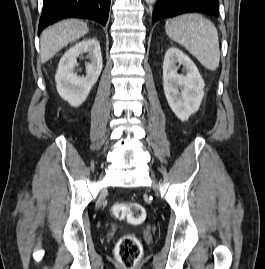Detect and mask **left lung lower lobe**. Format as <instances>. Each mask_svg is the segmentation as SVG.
<instances>
[{
	"label": "left lung lower lobe",
	"instance_id": "left-lung-lower-lobe-1",
	"mask_svg": "<svg viewBox=\"0 0 265 269\" xmlns=\"http://www.w3.org/2000/svg\"><path fill=\"white\" fill-rule=\"evenodd\" d=\"M218 0H157L153 11V22L188 12L219 16Z\"/></svg>",
	"mask_w": 265,
	"mask_h": 269
}]
</instances>
